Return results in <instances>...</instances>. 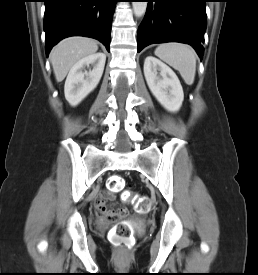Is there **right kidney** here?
I'll return each instance as SVG.
<instances>
[{
    "label": "right kidney",
    "mask_w": 258,
    "mask_h": 275,
    "mask_svg": "<svg viewBox=\"0 0 258 275\" xmlns=\"http://www.w3.org/2000/svg\"><path fill=\"white\" fill-rule=\"evenodd\" d=\"M106 56L99 52L82 58L70 69L65 81V98L70 105H78L98 85L105 66ZM93 66L89 72L85 67Z\"/></svg>",
    "instance_id": "1"
}]
</instances>
